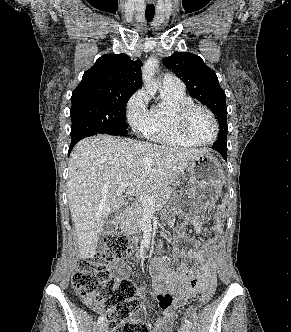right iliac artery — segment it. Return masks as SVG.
Segmentation results:
<instances>
[{
    "label": "right iliac artery",
    "instance_id": "1",
    "mask_svg": "<svg viewBox=\"0 0 291 332\" xmlns=\"http://www.w3.org/2000/svg\"><path fill=\"white\" fill-rule=\"evenodd\" d=\"M104 321V317L103 316H100L99 318H98V323H102Z\"/></svg>",
    "mask_w": 291,
    "mask_h": 332
}]
</instances>
